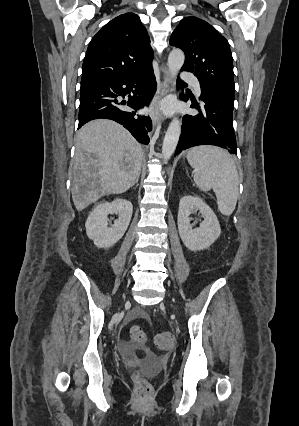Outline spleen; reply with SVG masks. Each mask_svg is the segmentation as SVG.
<instances>
[{"label": "spleen", "mask_w": 299, "mask_h": 426, "mask_svg": "<svg viewBox=\"0 0 299 426\" xmlns=\"http://www.w3.org/2000/svg\"><path fill=\"white\" fill-rule=\"evenodd\" d=\"M187 160L194 168L197 186L217 197L218 209L224 215L232 214L238 198V172L232 157L223 149L213 146H198L190 149Z\"/></svg>", "instance_id": "obj_1"}]
</instances>
